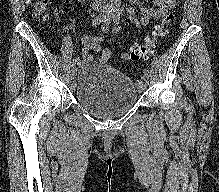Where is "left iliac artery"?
I'll return each mask as SVG.
<instances>
[{"mask_svg": "<svg viewBox=\"0 0 219 192\" xmlns=\"http://www.w3.org/2000/svg\"><path fill=\"white\" fill-rule=\"evenodd\" d=\"M120 5H116L115 9L113 10V14H112V18L113 21L118 24L120 22ZM144 74L149 75V70L148 69H144Z\"/></svg>", "mask_w": 219, "mask_h": 192, "instance_id": "1", "label": "left iliac artery"}]
</instances>
